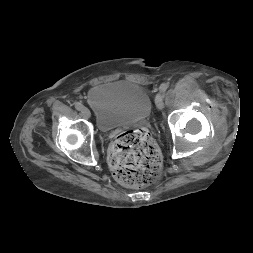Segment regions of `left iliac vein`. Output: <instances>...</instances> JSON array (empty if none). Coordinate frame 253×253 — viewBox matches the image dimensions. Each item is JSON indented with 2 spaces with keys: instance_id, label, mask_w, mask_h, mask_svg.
Listing matches in <instances>:
<instances>
[{
  "instance_id": "4c4485c4",
  "label": "left iliac vein",
  "mask_w": 253,
  "mask_h": 253,
  "mask_svg": "<svg viewBox=\"0 0 253 253\" xmlns=\"http://www.w3.org/2000/svg\"><path fill=\"white\" fill-rule=\"evenodd\" d=\"M155 102H156V107H157L159 110L163 109V107H164V102H163V97H162L161 94H157V95H156Z\"/></svg>"
}]
</instances>
